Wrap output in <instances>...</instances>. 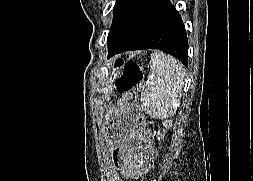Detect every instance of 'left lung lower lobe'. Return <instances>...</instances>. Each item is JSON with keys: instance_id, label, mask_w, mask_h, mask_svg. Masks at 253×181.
Masks as SVG:
<instances>
[{"instance_id": "obj_1", "label": "left lung lower lobe", "mask_w": 253, "mask_h": 181, "mask_svg": "<svg viewBox=\"0 0 253 181\" xmlns=\"http://www.w3.org/2000/svg\"><path fill=\"white\" fill-rule=\"evenodd\" d=\"M108 57L154 48L188 66V40L182 19L170 0H133L110 29Z\"/></svg>"}]
</instances>
